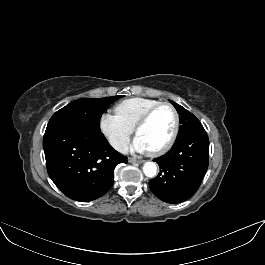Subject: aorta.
<instances>
[{
	"mask_svg": "<svg viewBox=\"0 0 265 265\" xmlns=\"http://www.w3.org/2000/svg\"><path fill=\"white\" fill-rule=\"evenodd\" d=\"M143 173L147 177H154L157 173V165L154 162L148 161L143 165Z\"/></svg>",
	"mask_w": 265,
	"mask_h": 265,
	"instance_id": "aorta-1",
	"label": "aorta"
}]
</instances>
